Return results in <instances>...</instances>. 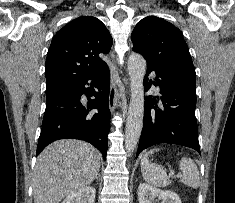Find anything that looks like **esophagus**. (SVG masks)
Masks as SVG:
<instances>
[{
	"mask_svg": "<svg viewBox=\"0 0 235 203\" xmlns=\"http://www.w3.org/2000/svg\"><path fill=\"white\" fill-rule=\"evenodd\" d=\"M112 57L113 59L115 58L114 55H112ZM120 97H121V94L118 92V89H117V75L113 73L112 78H111V86H110V93H109V109L111 112H114L119 102Z\"/></svg>",
	"mask_w": 235,
	"mask_h": 203,
	"instance_id": "obj_1",
	"label": "esophagus"
}]
</instances>
